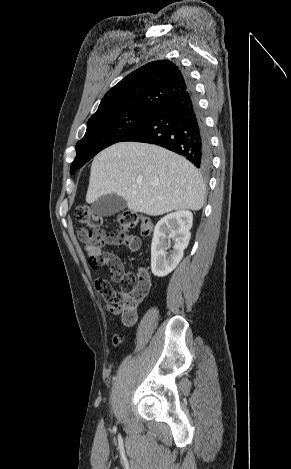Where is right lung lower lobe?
<instances>
[{
	"mask_svg": "<svg viewBox=\"0 0 291 469\" xmlns=\"http://www.w3.org/2000/svg\"><path fill=\"white\" fill-rule=\"evenodd\" d=\"M188 87L159 105L151 116L121 141L156 144L176 152L201 170L211 165L209 135L189 79Z\"/></svg>",
	"mask_w": 291,
	"mask_h": 469,
	"instance_id": "obj_1",
	"label": "right lung lower lobe"
}]
</instances>
